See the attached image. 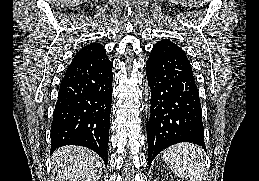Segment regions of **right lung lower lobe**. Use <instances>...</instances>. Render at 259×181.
Returning <instances> with one entry per match:
<instances>
[{"instance_id": "98d812e1", "label": "right lung lower lobe", "mask_w": 259, "mask_h": 181, "mask_svg": "<svg viewBox=\"0 0 259 181\" xmlns=\"http://www.w3.org/2000/svg\"><path fill=\"white\" fill-rule=\"evenodd\" d=\"M112 81V62L106 51L68 66L53 113L52 152L80 145L95 151L107 164Z\"/></svg>"}]
</instances>
